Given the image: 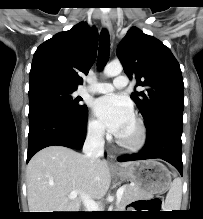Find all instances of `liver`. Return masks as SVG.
Here are the masks:
<instances>
[{
    "label": "liver",
    "mask_w": 203,
    "mask_h": 219,
    "mask_svg": "<svg viewBox=\"0 0 203 219\" xmlns=\"http://www.w3.org/2000/svg\"><path fill=\"white\" fill-rule=\"evenodd\" d=\"M132 162L121 163L127 167ZM111 176L104 160L92 162L64 146H49L37 152L27 166V199L30 212H78L81 195L101 198ZM79 197L69 199L71 192Z\"/></svg>",
    "instance_id": "6515ba94"
}]
</instances>
